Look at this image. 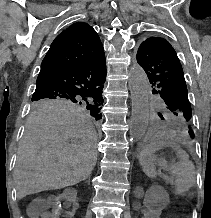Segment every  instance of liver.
<instances>
[{
  "mask_svg": "<svg viewBox=\"0 0 211 218\" xmlns=\"http://www.w3.org/2000/svg\"><path fill=\"white\" fill-rule=\"evenodd\" d=\"M96 146V130L82 110L37 108L26 122L17 152L18 198L86 180L96 166Z\"/></svg>",
  "mask_w": 211,
  "mask_h": 218,
  "instance_id": "liver-1",
  "label": "liver"
}]
</instances>
